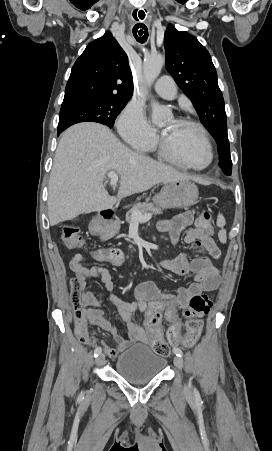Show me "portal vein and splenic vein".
<instances>
[{
  "label": "portal vein and splenic vein",
  "instance_id": "obj_1",
  "mask_svg": "<svg viewBox=\"0 0 272 451\" xmlns=\"http://www.w3.org/2000/svg\"><path fill=\"white\" fill-rule=\"evenodd\" d=\"M108 178H110V184L111 186H115L118 182V176L115 174V172H109ZM132 216V224H142V222H149L152 218V214H141V212H138V210H134L131 214Z\"/></svg>",
  "mask_w": 272,
  "mask_h": 451
}]
</instances>
